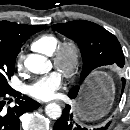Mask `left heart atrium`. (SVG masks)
I'll use <instances>...</instances> for the list:
<instances>
[{
  "instance_id": "39dd6f15",
  "label": "left heart atrium",
  "mask_w": 130,
  "mask_h": 130,
  "mask_svg": "<svg viewBox=\"0 0 130 130\" xmlns=\"http://www.w3.org/2000/svg\"><path fill=\"white\" fill-rule=\"evenodd\" d=\"M63 77L58 71H53L36 79L29 87L30 96L39 100H49L56 96V92L62 87Z\"/></svg>"
}]
</instances>
